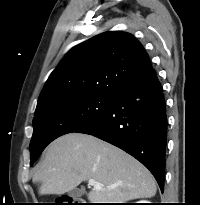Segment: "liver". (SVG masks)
Listing matches in <instances>:
<instances>
[{
    "instance_id": "liver-1",
    "label": "liver",
    "mask_w": 200,
    "mask_h": 205,
    "mask_svg": "<svg viewBox=\"0 0 200 205\" xmlns=\"http://www.w3.org/2000/svg\"><path fill=\"white\" fill-rule=\"evenodd\" d=\"M93 179L102 190L88 193L91 203H124L156 194L152 174L123 150L94 136L68 133L54 140L37 167L33 182L39 194L61 195Z\"/></svg>"
}]
</instances>
